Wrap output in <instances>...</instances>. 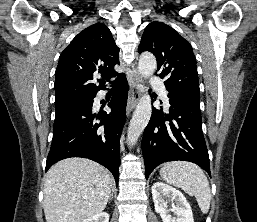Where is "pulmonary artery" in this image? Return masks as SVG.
<instances>
[{"label":"pulmonary artery","mask_w":257,"mask_h":222,"mask_svg":"<svg viewBox=\"0 0 257 222\" xmlns=\"http://www.w3.org/2000/svg\"><path fill=\"white\" fill-rule=\"evenodd\" d=\"M149 82L152 87H155L158 90L160 96L163 98L165 104L168 106V98L163 82L154 76H151L149 78Z\"/></svg>","instance_id":"e3ab8cb5"}]
</instances>
